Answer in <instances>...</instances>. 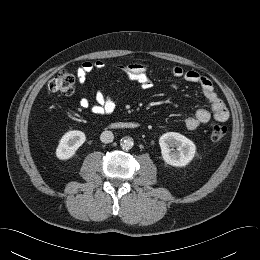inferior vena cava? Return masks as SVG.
Instances as JSON below:
<instances>
[{
  "mask_svg": "<svg viewBox=\"0 0 260 260\" xmlns=\"http://www.w3.org/2000/svg\"><path fill=\"white\" fill-rule=\"evenodd\" d=\"M114 139V135L111 131H103L100 136V140L103 143H110Z\"/></svg>",
  "mask_w": 260,
  "mask_h": 260,
  "instance_id": "inferior-vena-cava-1",
  "label": "inferior vena cava"
}]
</instances>
